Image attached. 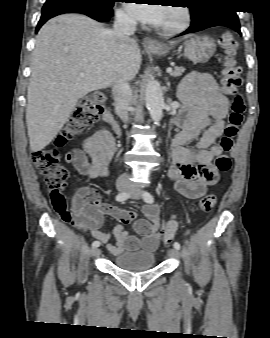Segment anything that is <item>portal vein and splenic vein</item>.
<instances>
[{"label":"portal vein and splenic vein","mask_w":270,"mask_h":338,"mask_svg":"<svg viewBox=\"0 0 270 338\" xmlns=\"http://www.w3.org/2000/svg\"><path fill=\"white\" fill-rule=\"evenodd\" d=\"M166 71H167V73H171V72H172V68H171V67H168ZM79 75H80V77H83V76H84L83 73H80Z\"/></svg>","instance_id":"portal-vein-and-splenic-vein-1"}]
</instances>
